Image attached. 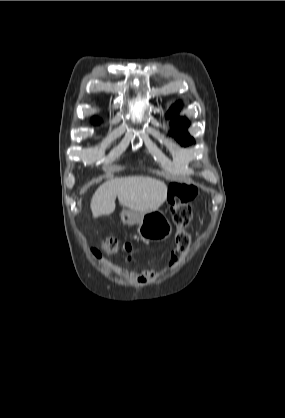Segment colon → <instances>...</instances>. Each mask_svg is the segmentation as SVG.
<instances>
[{
    "label": "colon",
    "mask_w": 285,
    "mask_h": 418,
    "mask_svg": "<svg viewBox=\"0 0 285 418\" xmlns=\"http://www.w3.org/2000/svg\"><path fill=\"white\" fill-rule=\"evenodd\" d=\"M193 198V191L187 186L176 184L170 190V215L171 221L176 226V248L171 255L174 261L183 257L190 244L189 229L193 221L191 206ZM101 244L107 252L113 253L121 250L127 258H130L132 246L129 241H120L113 236H103ZM96 254L99 257L102 256L101 251L97 250Z\"/></svg>",
    "instance_id": "colon-1"
}]
</instances>
